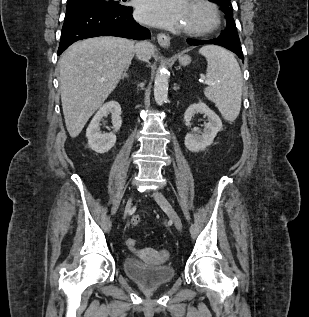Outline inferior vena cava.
I'll use <instances>...</instances> for the list:
<instances>
[{"instance_id":"1","label":"inferior vena cava","mask_w":309,"mask_h":317,"mask_svg":"<svg viewBox=\"0 0 309 317\" xmlns=\"http://www.w3.org/2000/svg\"><path fill=\"white\" fill-rule=\"evenodd\" d=\"M139 48H140V46H139V45H136V51H138V50H139Z\"/></svg>"}]
</instances>
